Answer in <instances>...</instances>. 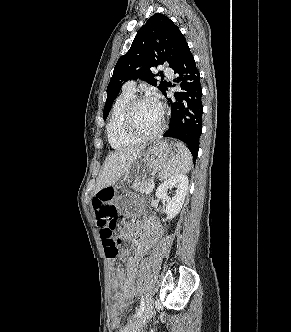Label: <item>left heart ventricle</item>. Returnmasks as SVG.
I'll use <instances>...</instances> for the list:
<instances>
[{
    "label": "left heart ventricle",
    "mask_w": 291,
    "mask_h": 332,
    "mask_svg": "<svg viewBox=\"0 0 291 332\" xmlns=\"http://www.w3.org/2000/svg\"><path fill=\"white\" fill-rule=\"evenodd\" d=\"M135 128L143 134L153 133L161 124V112L158 105L152 101L141 103L135 112Z\"/></svg>",
    "instance_id": "obj_1"
}]
</instances>
